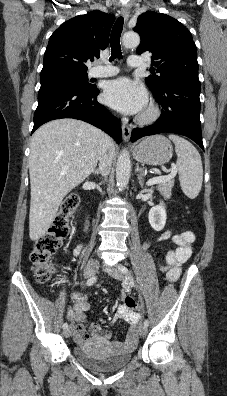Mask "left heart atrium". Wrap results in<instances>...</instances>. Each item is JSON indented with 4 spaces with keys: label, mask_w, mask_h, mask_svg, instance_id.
I'll use <instances>...</instances> for the list:
<instances>
[{
    "label": "left heart atrium",
    "mask_w": 227,
    "mask_h": 396,
    "mask_svg": "<svg viewBox=\"0 0 227 396\" xmlns=\"http://www.w3.org/2000/svg\"><path fill=\"white\" fill-rule=\"evenodd\" d=\"M103 101L124 114H136L146 107L147 94L140 83L122 77L107 83Z\"/></svg>",
    "instance_id": "obj_1"
}]
</instances>
